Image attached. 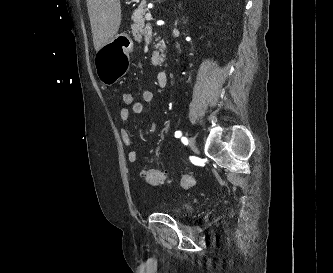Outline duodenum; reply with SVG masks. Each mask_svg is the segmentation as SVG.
Returning a JSON list of instances; mask_svg holds the SVG:
<instances>
[{
	"instance_id": "obj_1",
	"label": "duodenum",
	"mask_w": 333,
	"mask_h": 273,
	"mask_svg": "<svg viewBox=\"0 0 333 273\" xmlns=\"http://www.w3.org/2000/svg\"><path fill=\"white\" fill-rule=\"evenodd\" d=\"M168 82V74L165 71H160L157 74V84L159 87H165Z\"/></svg>"
}]
</instances>
